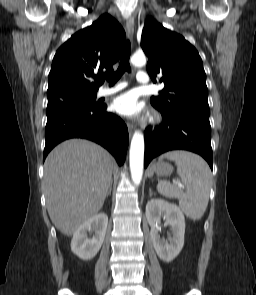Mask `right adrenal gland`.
Masks as SVG:
<instances>
[{
  "mask_svg": "<svg viewBox=\"0 0 256 295\" xmlns=\"http://www.w3.org/2000/svg\"><path fill=\"white\" fill-rule=\"evenodd\" d=\"M111 191H112V182H111V184H110V186H109V190H108V192H107V197L109 196V195H111Z\"/></svg>",
  "mask_w": 256,
  "mask_h": 295,
  "instance_id": "2a0ac1e0",
  "label": "right adrenal gland"
}]
</instances>
